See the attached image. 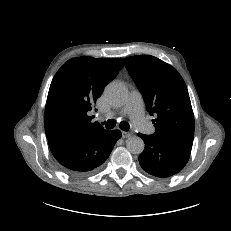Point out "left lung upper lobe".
<instances>
[{
    "label": "left lung upper lobe",
    "mask_w": 231,
    "mask_h": 231,
    "mask_svg": "<svg viewBox=\"0 0 231 231\" xmlns=\"http://www.w3.org/2000/svg\"><path fill=\"white\" fill-rule=\"evenodd\" d=\"M125 67L143 95L146 110L155 113V136L193 143L194 114L186 84L171 65L150 55L124 59Z\"/></svg>",
    "instance_id": "obj_1"
}]
</instances>
